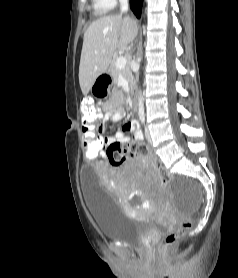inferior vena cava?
<instances>
[{"instance_id":"602c4592","label":"inferior vena cava","mask_w":238,"mask_h":278,"mask_svg":"<svg viewBox=\"0 0 238 278\" xmlns=\"http://www.w3.org/2000/svg\"><path fill=\"white\" fill-rule=\"evenodd\" d=\"M119 1H120L121 11L126 12L128 10V0H119Z\"/></svg>"}]
</instances>
